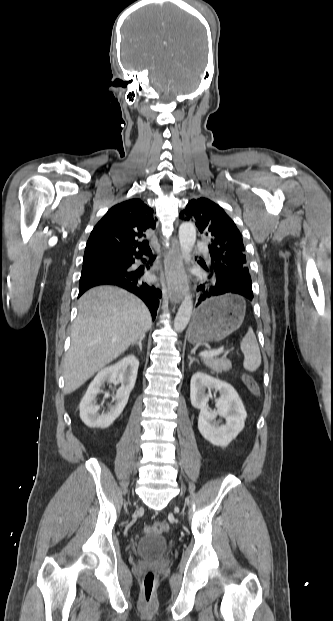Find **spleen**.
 <instances>
[{
    "instance_id": "obj_1",
    "label": "spleen",
    "mask_w": 333,
    "mask_h": 621,
    "mask_svg": "<svg viewBox=\"0 0 333 621\" xmlns=\"http://www.w3.org/2000/svg\"><path fill=\"white\" fill-rule=\"evenodd\" d=\"M240 347L244 353L243 366L245 370L249 372L256 371L261 365V353L255 337V334L251 328L240 342Z\"/></svg>"
}]
</instances>
